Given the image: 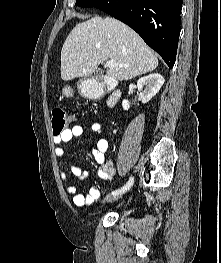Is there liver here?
I'll return each instance as SVG.
<instances>
[{"label": "liver", "instance_id": "6515ba94", "mask_svg": "<svg viewBox=\"0 0 221 263\" xmlns=\"http://www.w3.org/2000/svg\"><path fill=\"white\" fill-rule=\"evenodd\" d=\"M112 60L106 74L127 81L156 69L158 59L142 38L114 18L93 17L77 24L61 50L64 81L92 75L100 63Z\"/></svg>", "mask_w": 221, "mask_h": 263}]
</instances>
